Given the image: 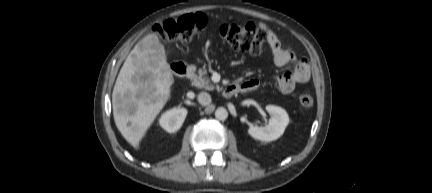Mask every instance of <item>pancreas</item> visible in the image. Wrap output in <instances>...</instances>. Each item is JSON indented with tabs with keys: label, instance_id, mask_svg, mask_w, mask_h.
<instances>
[{
	"label": "pancreas",
	"instance_id": "1",
	"mask_svg": "<svg viewBox=\"0 0 432 193\" xmlns=\"http://www.w3.org/2000/svg\"><path fill=\"white\" fill-rule=\"evenodd\" d=\"M206 74V70L199 69L198 75H195L192 79V84L205 90H213L215 88L219 89L217 85L211 83V81L205 76Z\"/></svg>",
	"mask_w": 432,
	"mask_h": 193
}]
</instances>
